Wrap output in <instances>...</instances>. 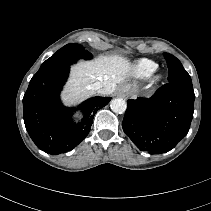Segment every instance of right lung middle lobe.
Masks as SVG:
<instances>
[{
  "label": "right lung middle lobe",
  "instance_id": "right-lung-middle-lobe-1",
  "mask_svg": "<svg viewBox=\"0 0 211 211\" xmlns=\"http://www.w3.org/2000/svg\"><path fill=\"white\" fill-rule=\"evenodd\" d=\"M91 54L79 44H67L59 49L53 56L47 59L40 67L38 72L48 69L69 66L78 59H90Z\"/></svg>",
  "mask_w": 211,
  "mask_h": 211
}]
</instances>
